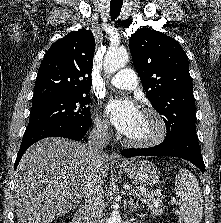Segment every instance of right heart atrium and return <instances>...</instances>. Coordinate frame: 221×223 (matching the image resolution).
Masks as SVG:
<instances>
[{
	"label": "right heart atrium",
	"instance_id": "obj_1",
	"mask_svg": "<svg viewBox=\"0 0 221 223\" xmlns=\"http://www.w3.org/2000/svg\"><path fill=\"white\" fill-rule=\"evenodd\" d=\"M94 128L100 134H107L109 131L108 123L99 116L94 118Z\"/></svg>",
	"mask_w": 221,
	"mask_h": 223
}]
</instances>
